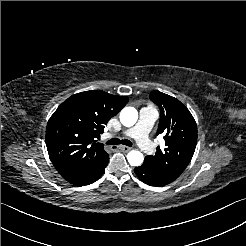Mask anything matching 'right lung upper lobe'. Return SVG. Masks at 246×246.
Wrapping results in <instances>:
<instances>
[{"mask_svg": "<svg viewBox=\"0 0 246 246\" xmlns=\"http://www.w3.org/2000/svg\"><path fill=\"white\" fill-rule=\"evenodd\" d=\"M128 102L102 90L72 95L50 117L46 128V145L57 170L73 165L97 164L107 154L103 144L92 143L101 127ZM86 147V148H84Z\"/></svg>", "mask_w": 246, "mask_h": 246, "instance_id": "cb5924a9", "label": "right lung upper lobe"}]
</instances>
